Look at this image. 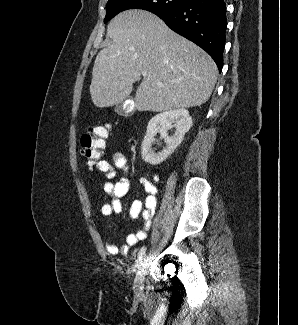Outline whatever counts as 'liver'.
Segmentation results:
<instances>
[{
  "instance_id": "obj_1",
  "label": "liver",
  "mask_w": 298,
  "mask_h": 325,
  "mask_svg": "<svg viewBox=\"0 0 298 325\" xmlns=\"http://www.w3.org/2000/svg\"><path fill=\"white\" fill-rule=\"evenodd\" d=\"M107 36L112 44L98 52L92 70L95 106L123 102L142 72L146 76L134 98L137 110L200 106L211 96L218 74L213 58L156 14L141 8L123 10L110 20Z\"/></svg>"
}]
</instances>
